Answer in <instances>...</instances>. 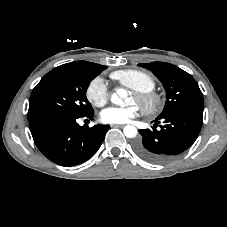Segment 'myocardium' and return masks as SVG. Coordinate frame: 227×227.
Wrapping results in <instances>:
<instances>
[{
    "label": "myocardium",
    "mask_w": 227,
    "mask_h": 227,
    "mask_svg": "<svg viewBox=\"0 0 227 227\" xmlns=\"http://www.w3.org/2000/svg\"><path fill=\"white\" fill-rule=\"evenodd\" d=\"M134 98L142 111L147 115L158 113L162 109L164 103L162 96L153 90L147 92H134Z\"/></svg>",
    "instance_id": "myocardium-1"
}]
</instances>
